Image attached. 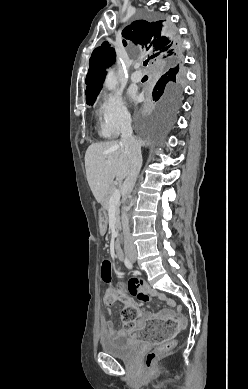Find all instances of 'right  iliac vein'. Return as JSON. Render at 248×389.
Segmentation results:
<instances>
[{"instance_id":"right-iliac-vein-1","label":"right iliac vein","mask_w":248,"mask_h":389,"mask_svg":"<svg viewBox=\"0 0 248 389\" xmlns=\"http://www.w3.org/2000/svg\"><path fill=\"white\" fill-rule=\"evenodd\" d=\"M130 258H131L132 260H134V259H135V256H131Z\"/></svg>"}]
</instances>
